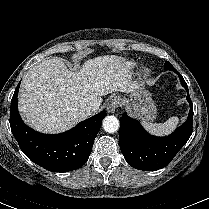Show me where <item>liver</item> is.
Returning a JSON list of instances; mask_svg holds the SVG:
<instances>
[{"label": "liver", "mask_w": 209, "mask_h": 209, "mask_svg": "<svg viewBox=\"0 0 209 209\" xmlns=\"http://www.w3.org/2000/svg\"><path fill=\"white\" fill-rule=\"evenodd\" d=\"M137 87L119 56L95 57L79 72L70 71L61 58L52 57L25 74L18 108L25 123L36 131L60 133L85 120L87 106L99 108L102 96L130 93Z\"/></svg>", "instance_id": "obj_1"}]
</instances>
